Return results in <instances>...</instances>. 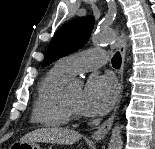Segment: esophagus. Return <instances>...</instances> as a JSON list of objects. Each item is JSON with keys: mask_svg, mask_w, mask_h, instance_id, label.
I'll return each instance as SVG.
<instances>
[{"mask_svg": "<svg viewBox=\"0 0 155 149\" xmlns=\"http://www.w3.org/2000/svg\"><path fill=\"white\" fill-rule=\"evenodd\" d=\"M126 47H127L126 33H125V30L122 29L121 35H120V43H119V50L122 57V63L119 71V77H120L119 96L112 115L102 125H100L97 130H95L92 133L91 139L94 141H100L108 134V132L112 127V123L114 121L117 109L119 107L121 97H122V91H123V71H124V65H125Z\"/></svg>", "mask_w": 155, "mask_h": 149, "instance_id": "obj_1", "label": "esophagus"}]
</instances>
